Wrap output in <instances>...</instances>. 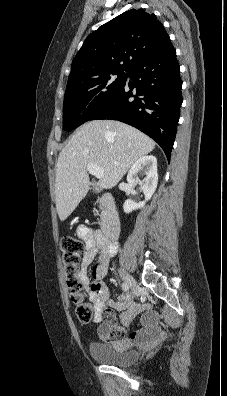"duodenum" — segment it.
Segmentation results:
<instances>
[{"label":"duodenum","instance_id":"410a0bca","mask_svg":"<svg viewBox=\"0 0 227 396\" xmlns=\"http://www.w3.org/2000/svg\"><path fill=\"white\" fill-rule=\"evenodd\" d=\"M100 202L103 206L104 223L99 236L104 242L113 244L120 233V221L115 201L111 194L104 193L101 195Z\"/></svg>","mask_w":227,"mask_h":396}]
</instances>
